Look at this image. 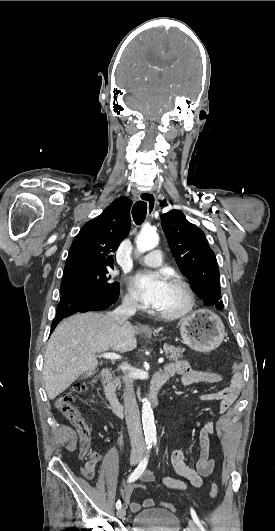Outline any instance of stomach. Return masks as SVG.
Segmentation results:
<instances>
[{
  "mask_svg": "<svg viewBox=\"0 0 275 531\" xmlns=\"http://www.w3.org/2000/svg\"><path fill=\"white\" fill-rule=\"evenodd\" d=\"M180 335L187 347L200 353H210L221 345L225 327L218 315L208 309H198L181 319Z\"/></svg>",
  "mask_w": 275,
  "mask_h": 531,
  "instance_id": "stomach-1",
  "label": "stomach"
}]
</instances>
